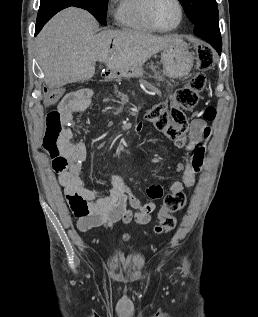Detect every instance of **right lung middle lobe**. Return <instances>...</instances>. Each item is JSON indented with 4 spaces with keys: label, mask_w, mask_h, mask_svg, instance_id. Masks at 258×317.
<instances>
[{
    "label": "right lung middle lobe",
    "mask_w": 258,
    "mask_h": 317,
    "mask_svg": "<svg viewBox=\"0 0 258 317\" xmlns=\"http://www.w3.org/2000/svg\"><path fill=\"white\" fill-rule=\"evenodd\" d=\"M93 16L103 25H106V11L108 0H88Z\"/></svg>",
    "instance_id": "right-lung-middle-lobe-1"
}]
</instances>
